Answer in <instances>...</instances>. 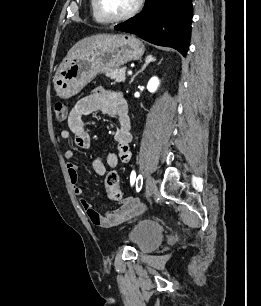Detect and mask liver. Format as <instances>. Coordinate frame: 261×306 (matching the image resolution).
Here are the masks:
<instances>
[{
  "label": "liver",
  "mask_w": 261,
  "mask_h": 306,
  "mask_svg": "<svg viewBox=\"0 0 261 306\" xmlns=\"http://www.w3.org/2000/svg\"><path fill=\"white\" fill-rule=\"evenodd\" d=\"M107 34H97V35H92L90 37H86L80 41H78L67 53V56L65 59H69L73 57L77 52H79L82 48L99 41L105 37H107Z\"/></svg>",
  "instance_id": "obj_1"
}]
</instances>
